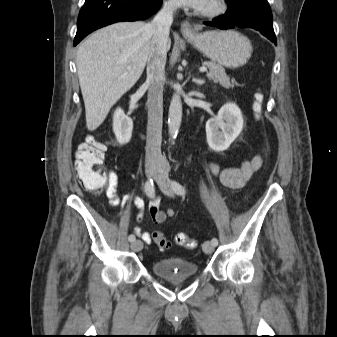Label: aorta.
I'll return each mask as SVG.
<instances>
[{
    "instance_id": "obj_1",
    "label": "aorta",
    "mask_w": 337,
    "mask_h": 337,
    "mask_svg": "<svg viewBox=\"0 0 337 337\" xmlns=\"http://www.w3.org/2000/svg\"><path fill=\"white\" fill-rule=\"evenodd\" d=\"M182 121V102L178 93H174L168 114V131L171 138H175Z\"/></svg>"
}]
</instances>
